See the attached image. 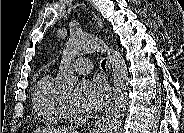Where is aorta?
Returning <instances> with one entry per match:
<instances>
[{
	"label": "aorta",
	"mask_w": 184,
	"mask_h": 133,
	"mask_svg": "<svg viewBox=\"0 0 184 133\" xmlns=\"http://www.w3.org/2000/svg\"><path fill=\"white\" fill-rule=\"evenodd\" d=\"M90 52L107 53L113 70V97L100 133H118L126 111L129 83L126 62L118 51L98 37L87 34L71 35L59 66V86L63 90H73L77 77L72 72L70 64L76 57Z\"/></svg>",
	"instance_id": "1"
}]
</instances>
